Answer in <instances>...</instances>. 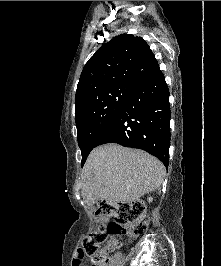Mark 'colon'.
I'll return each mask as SVG.
<instances>
[{
	"label": "colon",
	"mask_w": 221,
	"mask_h": 266,
	"mask_svg": "<svg viewBox=\"0 0 221 266\" xmlns=\"http://www.w3.org/2000/svg\"><path fill=\"white\" fill-rule=\"evenodd\" d=\"M97 216L111 217L114 221L106 226H101L90 233L83 241L85 256L91 259L92 266H105L106 251L102 246L109 236L127 235L138 237L144 235L148 229L149 219L140 201L109 203L99 205Z\"/></svg>",
	"instance_id": "5ec220e1"
}]
</instances>
